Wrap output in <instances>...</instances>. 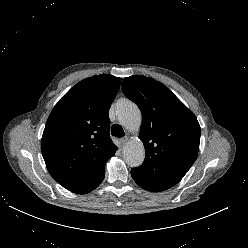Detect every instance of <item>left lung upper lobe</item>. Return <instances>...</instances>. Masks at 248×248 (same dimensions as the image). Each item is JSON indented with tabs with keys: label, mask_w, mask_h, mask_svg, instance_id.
I'll return each instance as SVG.
<instances>
[{
	"label": "left lung upper lobe",
	"mask_w": 248,
	"mask_h": 248,
	"mask_svg": "<svg viewBox=\"0 0 248 248\" xmlns=\"http://www.w3.org/2000/svg\"><path fill=\"white\" fill-rule=\"evenodd\" d=\"M122 90L142 113L139 138L145 160L131 174L142 188L159 192L176 185L195 162L201 128L195 115L162 83L143 75L124 78Z\"/></svg>",
	"instance_id": "left-lung-upper-lobe-1"
}]
</instances>
